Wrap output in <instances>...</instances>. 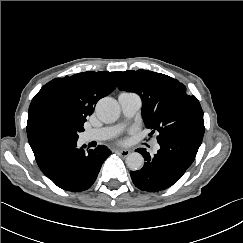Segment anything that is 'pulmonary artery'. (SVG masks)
Listing matches in <instances>:
<instances>
[{
	"label": "pulmonary artery",
	"instance_id": "obj_1",
	"mask_svg": "<svg viewBox=\"0 0 243 243\" xmlns=\"http://www.w3.org/2000/svg\"><path fill=\"white\" fill-rule=\"evenodd\" d=\"M119 102L122 108V113L125 118H132L140 109L142 101L141 98L134 93H122L119 95ZM122 128V125L112 127H104L99 129H92L82 133L81 138L83 142L101 141L115 136ZM159 145H154V150H159Z\"/></svg>",
	"mask_w": 243,
	"mask_h": 243
}]
</instances>
